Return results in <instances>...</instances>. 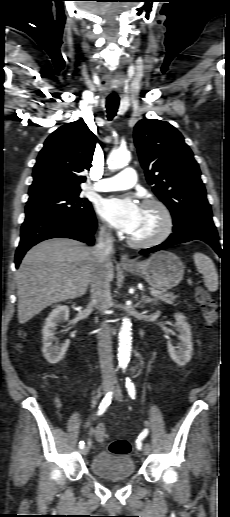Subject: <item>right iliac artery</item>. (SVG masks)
<instances>
[{"label": "right iliac artery", "instance_id": "1", "mask_svg": "<svg viewBox=\"0 0 230 517\" xmlns=\"http://www.w3.org/2000/svg\"><path fill=\"white\" fill-rule=\"evenodd\" d=\"M112 396H113V392L112 391L108 392L105 395V397L103 398L102 402L100 403L97 415H102L106 411V409L108 408V406L111 403ZM84 445H85L84 441H80L79 448L80 449L84 448Z\"/></svg>", "mask_w": 230, "mask_h": 517}]
</instances>
